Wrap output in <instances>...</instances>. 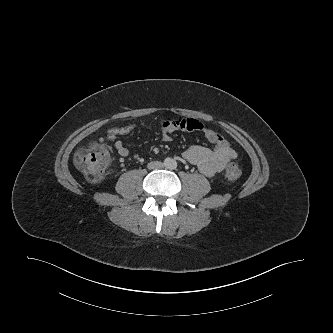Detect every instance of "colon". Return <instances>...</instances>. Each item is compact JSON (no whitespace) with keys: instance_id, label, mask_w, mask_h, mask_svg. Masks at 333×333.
I'll return each mask as SVG.
<instances>
[{"instance_id":"colon-1","label":"colon","mask_w":333,"mask_h":333,"mask_svg":"<svg viewBox=\"0 0 333 333\" xmlns=\"http://www.w3.org/2000/svg\"><path fill=\"white\" fill-rule=\"evenodd\" d=\"M74 162L79 171L89 181L98 182L106 174L110 164V153L105 145L92 143L75 154ZM240 174L239 166L236 163H231L225 171V178L229 182H234L239 178Z\"/></svg>"}]
</instances>
